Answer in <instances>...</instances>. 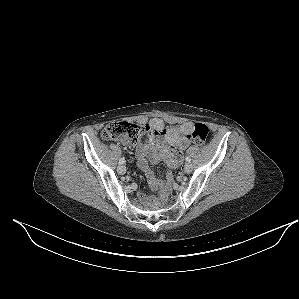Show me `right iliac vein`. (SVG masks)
I'll return each instance as SVG.
<instances>
[{
    "mask_svg": "<svg viewBox=\"0 0 299 299\" xmlns=\"http://www.w3.org/2000/svg\"><path fill=\"white\" fill-rule=\"evenodd\" d=\"M117 171L119 174L123 175L126 173V167L125 165L123 164H120L118 167H117Z\"/></svg>",
    "mask_w": 299,
    "mask_h": 299,
    "instance_id": "1",
    "label": "right iliac vein"
}]
</instances>
